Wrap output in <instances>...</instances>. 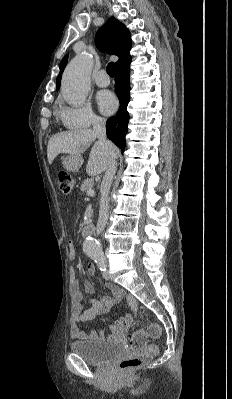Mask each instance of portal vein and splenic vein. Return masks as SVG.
I'll list each match as a JSON object with an SVG mask.
<instances>
[{
	"label": "portal vein and splenic vein",
	"mask_w": 232,
	"mask_h": 399,
	"mask_svg": "<svg viewBox=\"0 0 232 399\" xmlns=\"http://www.w3.org/2000/svg\"><path fill=\"white\" fill-rule=\"evenodd\" d=\"M95 192L94 190H88L87 196H94Z\"/></svg>",
	"instance_id": "18ae733b"
}]
</instances>
